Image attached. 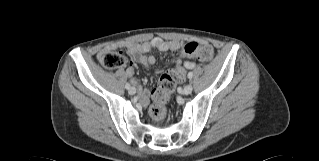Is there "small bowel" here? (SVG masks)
I'll list each match as a JSON object with an SVG mask.
<instances>
[{"label": "small bowel", "mask_w": 319, "mask_h": 161, "mask_svg": "<svg viewBox=\"0 0 319 161\" xmlns=\"http://www.w3.org/2000/svg\"><path fill=\"white\" fill-rule=\"evenodd\" d=\"M202 45L206 46V42L202 41ZM120 47H124L129 55L136 58V60L141 63L142 65L149 67L156 63V58L153 55H146L152 49H158L164 52H178L181 51L183 46L182 43L178 40L171 39L165 40L160 37H155L152 40L145 41L142 43H119V44H111L107 45L102 53H105L110 50H114ZM175 68L181 67L182 68V81L185 80L186 77V70L193 69L195 67V62L191 60H175L174 61ZM135 73V68L133 65H130L125 70V75L129 78H133ZM132 83L136 85L140 91V98L139 103L141 105L147 104L149 100V92L147 90H143L141 86L135 79H132Z\"/></svg>", "instance_id": "small-bowel-1"}]
</instances>
